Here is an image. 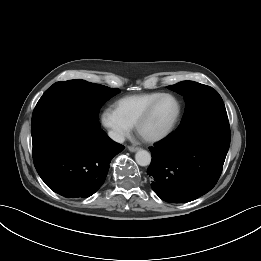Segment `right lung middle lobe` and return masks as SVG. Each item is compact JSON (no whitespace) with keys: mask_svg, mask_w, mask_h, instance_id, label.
<instances>
[{"mask_svg":"<svg viewBox=\"0 0 261 261\" xmlns=\"http://www.w3.org/2000/svg\"><path fill=\"white\" fill-rule=\"evenodd\" d=\"M119 92V89L85 80L60 81L42 95L33 111L32 120L54 110L79 112L99 119L102 105Z\"/></svg>","mask_w":261,"mask_h":261,"instance_id":"right-lung-middle-lobe-1","label":"right lung middle lobe"}]
</instances>
